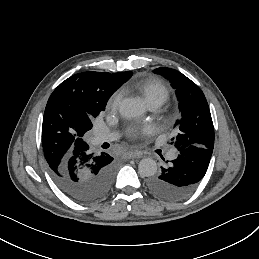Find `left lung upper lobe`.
Listing matches in <instances>:
<instances>
[{
	"label": "left lung upper lobe",
	"instance_id": "5c2ea615",
	"mask_svg": "<svg viewBox=\"0 0 259 259\" xmlns=\"http://www.w3.org/2000/svg\"><path fill=\"white\" fill-rule=\"evenodd\" d=\"M155 73L167 78L175 89L181 118L176 121L179 128L172 143L177 150L189 146L208 149L214 147V127L207 100L201 89L177 70L160 67Z\"/></svg>",
	"mask_w": 259,
	"mask_h": 259
}]
</instances>
